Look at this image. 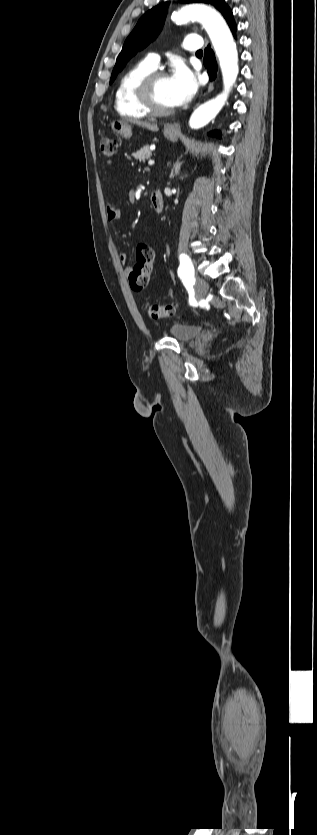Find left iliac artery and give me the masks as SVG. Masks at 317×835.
I'll return each mask as SVG.
<instances>
[{
	"mask_svg": "<svg viewBox=\"0 0 317 835\" xmlns=\"http://www.w3.org/2000/svg\"><path fill=\"white\" fill-rule=\"evenodd\" d=\"M179 260L180 265L178 268V276L187 288L190 286L192 287V285L195 284L194 268L192 262L185 253L180 254Z\"/></svg>",
	"mask_w": 317,
	"mask_h": 835,
	"instance_id": "left-iliac-artery-1",
	"label": "left iliac artery"
}]
</instances>
